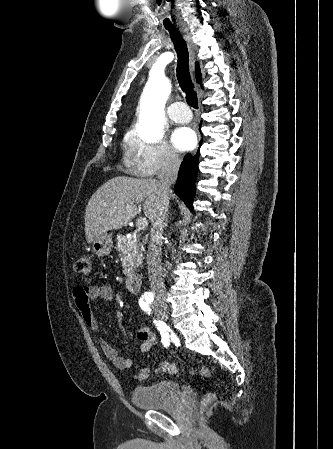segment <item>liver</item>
<instances>
[{"instance_id":"obj_1","label":"liver","mask_w":333,"mask_h":449,"mask_svg":"<svg viewBox=\"0 0 333 449\" xmlns=\"http://www.w3.org/2000/svg\"><path fill=\"white\" fill-rule=\"evenodd\" d=\"M160 182L114 177L104 183L90 198L85 211V234L88 243L109 230L126 226L138 213L137 204L144 201L143 212L151 222L160 201Z\"/></svg>"}]
</instances>
